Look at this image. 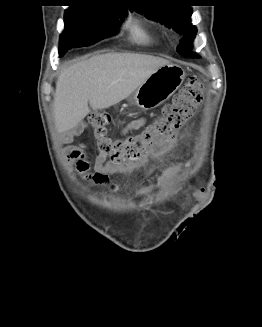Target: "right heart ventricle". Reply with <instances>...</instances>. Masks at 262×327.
Segmentation results:
<instances>
[{
	"mask_svg": "<svg viewBox=\"0 0 262 327\" xmlns=\"http://www.w3.org/2000/svg\"><path fill=\"white\" fill-rule=\"evenodd\" d=\"M128 38L137 44L148 45L153 43V37L149 30L135 19H130L125 24Z\"/></svg>",
	"mask_w": 262,
	"mask_h": 327,
	"instance_id": "obj_1",
	"label": "right heart ventricle"
}]
</instances>
